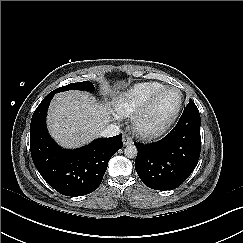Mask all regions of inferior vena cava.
<instances>
[{"mask_svg":"<svg viewBox=\"0 0 243 243\" xmlns=\"http://www.w3.org/2000/svg\"><path fill=\"white\" fill-rule=\"evenodd\" d=\"M119 133H120L119 126H117L116 124H110L100 133V136L112 137L118 135Z\"/></svg>","mask_w":243,"mask_h":243,"instance_id":"602c4592","label":"inferior vena cava"}]
</instances>
